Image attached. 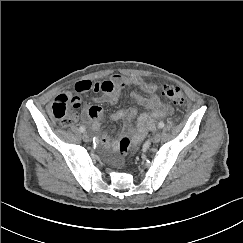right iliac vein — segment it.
Here are the masks:
<instances>
[{
    "label": "right iliac vein",
    "mask_w": 243,
    "mask_h": 243,
    "mask_svg": "<svg viewBox=\"0 0 243 243\" xmlns=\"http://www.w3.org/2000/svg\"><path fill=\"white\" fill-rule=\"evenodd\" d=\"M82 139L85 141V142H89L90 141V136L87 132H84L82 134Z\"/></svg>",
    "instance_id": "obj_1"
}]
</instances>
